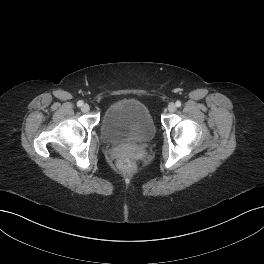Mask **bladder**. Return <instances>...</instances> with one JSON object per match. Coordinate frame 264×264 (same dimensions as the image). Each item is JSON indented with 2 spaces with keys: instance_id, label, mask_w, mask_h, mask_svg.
<instances>
[{
  "instance_id": "31cf9c89",
  "label": "bladder",
  "mask_w": 264,
  "mask_h": 264,
  "mask_svg": "<svg viewBox=\"0 0 264 264\" xmlns=\"http://www.w3.org/2000/svg\"><path fill=\"white\" fill-rule=\"evenodd\" d=\"M100 133L102 140L110 145L146 144L154 139L156 126L146 105L123 99L106 109Z\"/></svg>"
}]
</instances>
